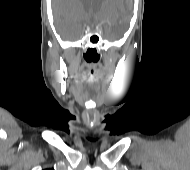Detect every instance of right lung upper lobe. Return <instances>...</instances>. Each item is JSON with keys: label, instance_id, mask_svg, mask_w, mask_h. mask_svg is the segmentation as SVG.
I'll list each match as a JSON object with an SVG mask.
<instances>
[{"label": "right lung upper lobe", "instance_id": "1", "mask_svg": "<svg viewBox=\"0 0 190 170\" xmlns=\"http://www.w3.org/2000/svg\"><path fill=\"white\" fill-rule=\"evenodd\" d=\"M45 170H53V169H45Z\"/></svg>", "mask_w": 190, "mask_h": 170}]
</instances>
